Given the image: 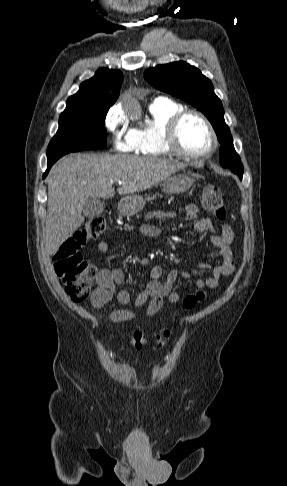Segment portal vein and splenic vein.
Here are the masks:
<instances>
[{
	"label": "portal vein and splenic vein",
	"instance_id": "portal-vein-and-splenic-vein-1",
	"mask_svg": "<svg viewBox=\"0 0 287 486\" xmlns=\"http://www.w3.org/2000/svg\"><path fill=\"white\" fill-rule=\"evenodd\" d=\"M117 182H118V184H122V181L121 180H118Z\"/></svg>",
	"mask_w": 287,
	"mask_h": 486
}]
</instances>
